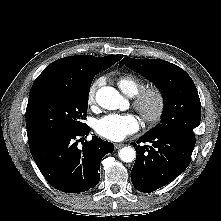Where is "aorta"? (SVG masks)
Wrapping results in <instances>:
<instances>
[{"label":"aorta","instance_id":"762f6f07","mask_svg":"<svg viewBox=\"0 0 221 221\" xmlns=\"http://www.w3.org/2000/svg\"><path fill=\"white\" fill-rule=\"evenodd\" d=\"M97 103L104 109L116 110L119 109L123 102V96L113 87H102L96 93ZM119 158L126 163L132 162L136 157L135 150L130 147H123L118 152Z\"/></svg>","mask_w":221,"mask_h":221}]
</instances>
